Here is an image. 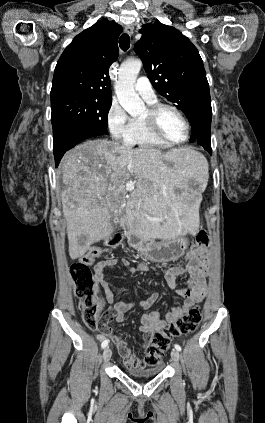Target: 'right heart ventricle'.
Segmentation results:
<instances>
[{"mask_svg": "<svg viewBox=\"0 0 265 423\" xmlns=\"http://www.w3.org/2000/svg\"><path fill=\"white\" fill-rule=\"evenodd\" d=\"M155 102L149 103L153 105ZM125 142L142 149H167L170 145L157 139L147 128L143 119H131L130 128Z\"/></svg>", "mask_w": 265, "mask_h": 423, "instance_id": "obj_1", "label": "right heart ventricle"}]
</instances>
